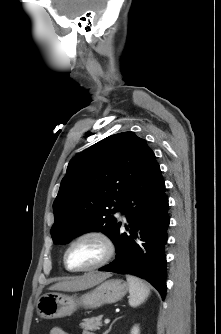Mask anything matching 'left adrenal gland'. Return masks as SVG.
I'll list each match as a JSON object with an SVG mask.
<instances>
[{
	"label": "left adrenal gland",
	"mask_w": 221,
	"mask_h": 334,
	"mask_svg": "<svg viewBox=\"0 0 221 334\" xmlns=\"http://www.w3.org/2000/svg\"><path fill=\"white\" fill-rule=\"evenodd\" d=\"M118 319H120V318H116V319L111 323V325L109 326V329L106 330L103 334H108V333L111 331L113 324H114Z\"/></svg>",
	"instance_id": "left-adrenal-gland-1"
}]
</instances>
